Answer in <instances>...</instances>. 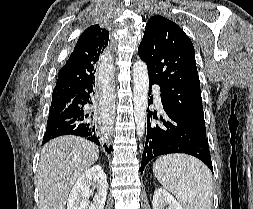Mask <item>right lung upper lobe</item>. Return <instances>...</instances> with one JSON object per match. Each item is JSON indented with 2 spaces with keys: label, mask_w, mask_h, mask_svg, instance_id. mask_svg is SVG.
<instances>
[{
  "label": "right lung upper lobe",
  "mask_w": 253,
  "mask_h": 209,
  "mask_svg": "<svg viewBox=\"0 0 253 209\" xmlns=\"http://www.w3.org/2000/svg\"><path fill=\"white\" fill-rule=\"evenodd\" d=\"M108 40L109 32L97 24L80 35L72 54L58 73L52 99L74 97L94 84L97 62Z\"/></svg>",
  "instance_id": "right-lung-upper-lobe-1"
}]
</instances>
